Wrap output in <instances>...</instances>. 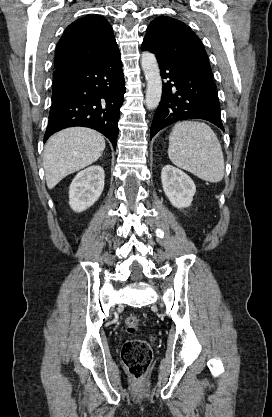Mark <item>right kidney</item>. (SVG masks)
I'll use <instances>...</instances> for the list:
<instances>
[{
	"instance_id": "right-kidney-1",
	"label": "right kidney",
	"mask_w": 272,
	"mask_h": 417,
	"mask_svg": "<svg viewBox=\"0 0 272 417\" xmlns=\"http://www.w3.org/2000/svg\"><path fill=\"white\" fill-rule=\"evenodd\" d=\"M104 170L99 165L79 172L69 187V205L75 212L91 207L104 189Z\"/></svg>"
}]
</instances>
